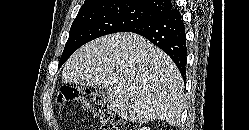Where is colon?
I'll return each instance as SVG.
<instances>
[{"label": "colon", "mask_w": 249, "mask_h": 130, "mask_svg": "<svg viewBox=\"0 0 249 130\" xmlns=\"http://www.w3.org/2000/svg\"><path fill=\"white\" fill-rule=\"evenodd\" d=\"M59 103L73 102L90 111L99 121L100 130H121L122 126L110 104L89 89L75 85H63L58 92Z\"/></svg>", "instance_id": "colon-1"}]
</instances>
